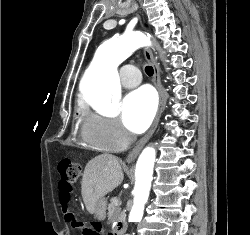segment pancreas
<instances>
[{"label": "pancreas", "mask_w": 250, "mask_h": 235, "mask_svg": "<svg viewBox=\"0 0 250 235\" xmlns=\"http://www.w3.org/2000/svg\"><path fill=\"white\" fill-rule=\"evenodd\" d=\"M108 220L110 222L125 220V212L121 211L119 199L117 197L110 200L108 206Z\"/></svg>", "instance_id": "1"}]
</instances>
